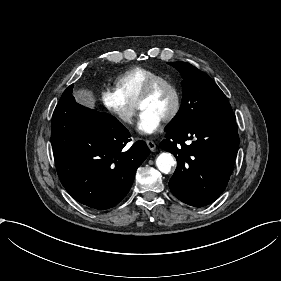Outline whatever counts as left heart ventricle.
<instances>
[{
    "instance_id": "1",
    "label": "left heart ventricle",
    "mask_w": 281,
    "mask_h": 281,
    "mask_svg": "<svg viewBox=\"0 0 281 281\" xmlns=\"http://www.w3.org/2000/svg\"><path fill=\"white\" fill-rule=\"evenodd\" d=\"M173 105V94L164 85L159 86L154 93L140 105L141 110H146L158 117L161 121L168 115Z\"/></svg>"
}]
</instances>
